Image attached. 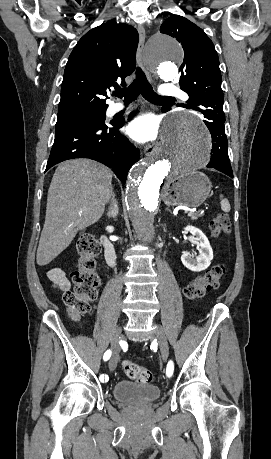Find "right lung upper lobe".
Listing matches in <instances>:
<instances>
[{"instance_id":"right-lung-upper-lobe-1","label":"right lung upper lobe","mask_w":271,"mask_h":459,"mask_svg":"<svg viewBox=\"0 0 271 459\" xmlns=\"http://www.w3.org/2000/svg\"><path fill=\"white\" fill-rule=\"evenodd\" d=\"M137 30L108 21L86 33L74 47L65 67L59 111L86 105H106L105 97L117 79L132 74L138 45Z\"/></svg>"}]
</instances>
